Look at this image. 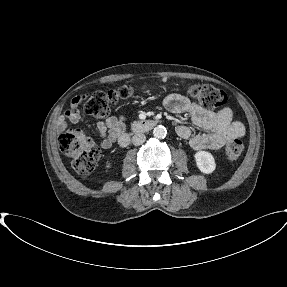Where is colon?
<instances>
[{
	"label": "colon",
	"mask_w": 287,
	"mask_h": 287,
	"mask_svg": "<svg viewBox=\"0 0 287 287\" xmlns=\"http://www.w3.org/2000/svg\"><path fill=\"white\" fill-rule=\"evenodd\" d=\"M186 95L203 107L214 109L224 106L227 94L208 84H193L184 89ZM133 90L124 85L115 90L97 91L92 93L84 103L85 111L96 118L107 116L110 107L119 101L129 99ZM60 150L70 158L73 168L81 175L90 174L99 160L100 150L92 139L80 130H67L59 136ZM243 142L239 138L231 139L226 147L225 154L229 161H237L243 152Z\"/></svg>",
	"instance_id": "5ec220e1"
}]
</instances>
